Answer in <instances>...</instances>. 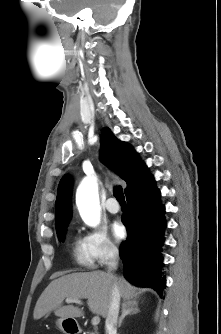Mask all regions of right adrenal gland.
<instances>
[{"instance_id":"1","label":"right adrenal gland","mask_w":221,"mask_h":334,"mask_svg":"<svg viewBox=\"0 0 221 334\" xmlns=\"http://www.w3.org/2000/svg\"><path fill=\"white\" fill-rule=\"evenodd\" d=\"M140 310L138 308V303H133V304H123L122 306V314L119 318L118 321V327L121 326L123 319L127 316V315H134L139 313Z\"/></svg>"}]
</instances>
